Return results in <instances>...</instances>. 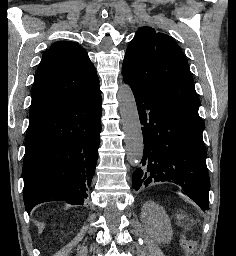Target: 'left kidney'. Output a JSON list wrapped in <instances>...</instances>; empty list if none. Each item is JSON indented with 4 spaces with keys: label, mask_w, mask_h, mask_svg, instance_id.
Instances as JSON below:
<instances>
[{
    "label": "left kidney",
    "mask_w": 236,
    "mask_h": 256,
    "mask_svg": "<svg viewBox=\"0 0 236 256\" xmlns=\"http://www.w3.org/2000/svg\"><path fill=\"white\" fill-rule=\"evenodd\" d=\"M141 222L145 232L158 244H169L172 240L170 220L162 206L156 202H145L141 210Z\"/></svg>",
    "instance_id": "left-kidney-1"
}]
</instances>
